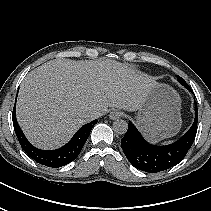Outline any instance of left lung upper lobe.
Instances as JSON below:
<instances>
[{"label": "left lung upper lobe", "instance_id": "5c2ea615", "mask_svg": "<svg viewBox=\"0 0 211 211\" xmlns=\"http://www.w3.org/2000/svg\"><path fill=\"white\" fill-rule=\"evenodd\" d=\"M177 80L180 82V83H186L184 79H182L180 76H177Z\"/></svg>", "mask_w": 211, "mask_h": 211}]
</instances>
